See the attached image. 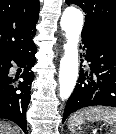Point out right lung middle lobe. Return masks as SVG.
I'll return each mask as SVG.
<instances>
[{
    "label": "right lung middle lobe",
    "mask_w": 116,
    "mask_h": 134,
    "mask_svg": "<svg viewBox=\"0 0 116 134\" xmlns=\"http://www.w3.org/2000/svg\"><path fill=\"white\" fill-rule=\"evenodd\" d=\"M6 74V68L2 62H0V78L4 77Z\"/></svg>",
    "instance_id": "1"
}]
</instances>
